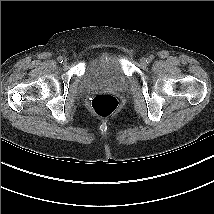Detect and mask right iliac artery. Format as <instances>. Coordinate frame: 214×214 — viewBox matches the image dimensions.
<instances>
[{"label": "right iliac artery", "mask_w": 214, "mask_h": 214, "mask_svg": "<svg viewBox=\"0 0 214 214\" xmlns=\"http://www.w3.org/2000/svg\"><path fill=\"white\" fill-rule=\"evenodd\" d=\"M60 63L63 62V57L62 56H59L58 59H57Z\"/></svg>", "instance_id": "right-iliac-artery-1"}]
</instances>
